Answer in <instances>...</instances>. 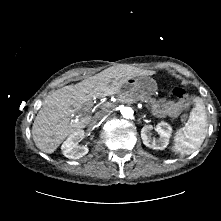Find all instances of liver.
Returning <instances> with one entry per match:
<instances>
[{"label": "liver", "mask_w": 221, "mask_h": 221, "mask_svg": "<svg viewBox=\"0 0 221 221\" xmlns=\"http://www.w3.org/2000/svg\"><path fill=\"white\" fill-rule=\"evenodd\" d=\"M136 74L130 69L110 67L75 85L51 92L44 99L32 126L36 147L52 154L69 135L91 122L92 116L86 111L92 99L118 93Z\"/></svg>", "instance_id": "obj_1"}]
</instances>
